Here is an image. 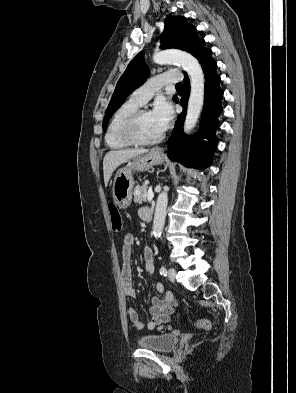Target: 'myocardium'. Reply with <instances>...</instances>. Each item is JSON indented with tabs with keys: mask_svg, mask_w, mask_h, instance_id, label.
<instances>
[{
	"mask_svg": "<svg viewBox=\"0 0 296 393\" xmlns=\"http://www.w3.org/2000/svg\"><path fill=\"white\" fill-rule=\"evenodd\" d=\"M149 112L146 108H139L133 112L124 122L121 130L123 139L130 145L148 146L160 142L163 139V133L152 139H142L138 134V126L143 114Z\"/></svg>",
	"mask_w": 296,
	"mask_h": 393,
	"instance_id": "f54148a6",
	"label": "myocardium"
}]
</instances>
